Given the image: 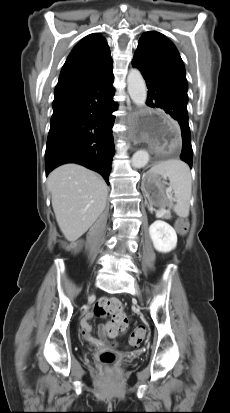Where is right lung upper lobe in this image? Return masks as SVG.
I'll return each mask as SVG.
<instances>
[{
	"mask_svg": "<svg viewBox=\"0 0 230 413\" xmlns=\"http://www.w3.org/2000/svg\"><path fill=\"white\" fill-rule=\"evenodd\" d=\"M112 59L104 37L93 33L71 51L60 73L54 94L76 91L112 74Z\"/></svg>",
	"mask_w": 230,
	"mask_h": 413,
	"instance_id": "cb5924a9",
	"label": "right lung upper lobe"
}]
</instances>
